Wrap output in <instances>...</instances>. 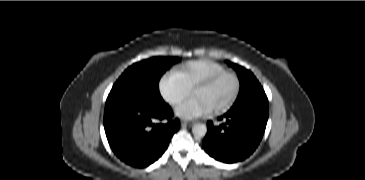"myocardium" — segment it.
<instances>
[{
	"instance_id": "obj_1",
	"label": "myocardium",
	"mask_w": 365,
	"mask_h": 180,
	"mask_svg": "<svg viewBox=\"0 0 365 180\" xmlns=\"http://www.w3.org/2000/svg\"><path fill=\"white\" fill-rule=\"evenodd\" d=\"M229 76L232 77L235 81L234 93L226 103L214 108L215 112H224V111L228 110L230 107H232L234 105V103L236 102V100H237V98L240 94V91H241V80L235 72L226 71V72H223V73L213 77L206 84H204V87H207V86H210V85L218 82L222 78L229 77Z\"/></svg>"
}]
</instances>
